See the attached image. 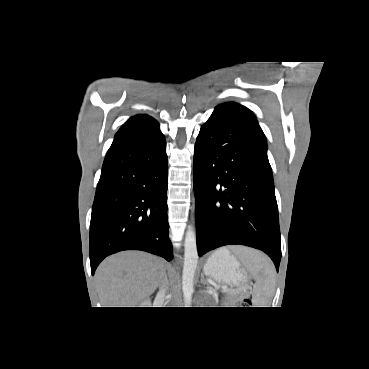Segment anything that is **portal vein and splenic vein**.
Returning a JSON list of instances; mask_svg holds the SVG:
<instances>
[{
    "label": "portal vein and splenic vein",
    "mask_w": 369,
    "mask_h": 369,
    "mask_svg": "<svg viewBox=\"0 0 369 369\" xmlns=\"http://www.w3.org/2000/svg\"><path fill=\"white\" fill-rule=\"evenodd\" d=\"M221 289L225 290L227 289V286H222Z\"/></svg>",
    "instance_id": "18ae733b"
}]
</instances>
